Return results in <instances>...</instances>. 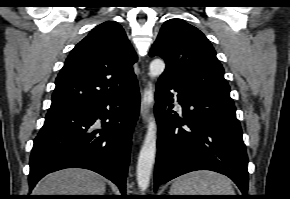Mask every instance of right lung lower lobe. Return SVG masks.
Listing matches in <instances>:
<instances>
[{"label": "right lung lower lobe", "mask_w": 290, "mask_h": 199, "mask_svg": "<svg viewBox=\"0 0 290 199\" xmlns=\"http://www.w3.org/2000/svg\"><path fill=\"white\" fill-rule=\"evenodd\" d=\"M139 106L135 81L123 92L99 102L47 115L31 152L29 190L48 173L85 168L110 179L124 195Z\"/></svg>", "instance_id": "right-lung-lower-lobe-1"}]
</instances>
